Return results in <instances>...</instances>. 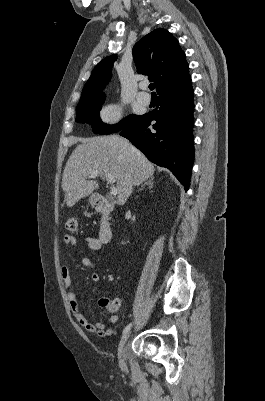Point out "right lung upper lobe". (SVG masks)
<instances>
[{
  "label": "right lung upper lobe",
  "mask_w": 265,
  "mask_h": 401,
  "mask_svg": "<svg viewBox=\"0 0 265 401\" xmlns=\"http://www.w3.org/2000/svg\"><path fill=\"white\" fill-rule=\"evenodd\" d=\"M132 53L138 72L149 76L158 94L173 91L191 81L185 53L178 40L165 29H156L147 34L135 44ZM116 59V55H111L96 65L83 88L79 104L104 95L102 90L110 80Z\"/></svg>",
  "instance_id": "cb5924a9"
}]
</instances>
